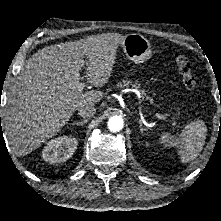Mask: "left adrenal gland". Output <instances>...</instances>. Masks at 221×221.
Listing matches in <instances>:
<instances>
[{"label":"left adrenal gland","instance_id":"obj_1","mask_svg":"<svg viewBox=\"0 0 221 221\" xmlns=\"http://www.w3.org/2000/svg\"><path fill=\"white\" fill-rule=\"evenodd\" d=\"M139 128H140L141 133H143L144 131H147V128L143 127V124H142L141 120H139Z\"/></svg>","mask_w":221,"mask_h":221}]
</instances>
